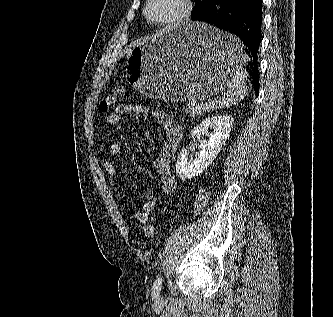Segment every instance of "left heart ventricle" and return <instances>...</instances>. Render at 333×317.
<instances>
[{
  "instance_id": "left-heart-ventricle-1",
  "label": "left heart ventricle",
  "mask_w": 333,
  "mask_h": 317,
  "mask_svg": "<svg viewBox=\"0 0 333 317\" xmlns=\"http://www.w3.org/2000/svg\"><path fill=\"white\" fill-rule=\"evenodd\" d=\"M178 9L175 0H154L150 6V14L157 18L172 16Z\"/></svg>"
}]
</instances>
